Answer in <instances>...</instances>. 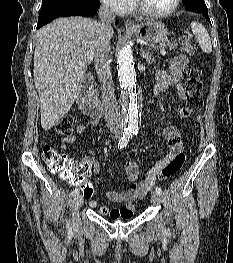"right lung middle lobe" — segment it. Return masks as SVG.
<instances>
[{
  "label": "right lung middle lobe",
  "mask_w": 233,
  "mask_h": 263,
  "mask_svg": "<svg viewBox=\"0 0 233 263\" xmlns=\"http://www.w3.org/2000/svg\"><path fill=\"white\" fill-rule=\"evenodd\" d=\"M83 0H42L38 23H45L75 11ZM97 2L99 0H91Z\"/></svg>",
  "instance_id": "right-lung-middle-lobe-1"
}]
</instances>
